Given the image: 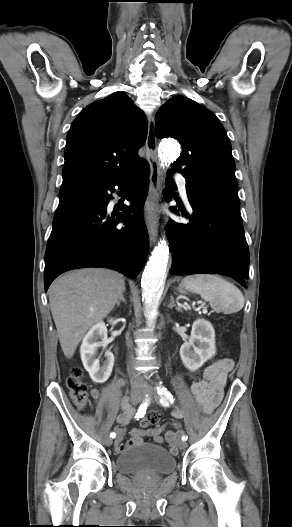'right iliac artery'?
Wrapping results in <instances>:
<instances>
[{"mask_svg":"<svg viewBox=\"0 0 292 527\" xmlns=\"http://www.w3.org/2000/svg\"><path fill=\"white\" fill-rule=\"evenodd\" d=\"M148 404H149V399L146 398L145 401L140 405V407L138 409V412L136 413L135 418L139 419V418H142L145 415ZM110 437L111 438H115L116 437V433L115 432H111L110 433Z\"/></svg>","mask_w":292,"mask_h":527,"instance_id":"right-iliac-artery-1","label":"right iliac artery"}]
</instances>
